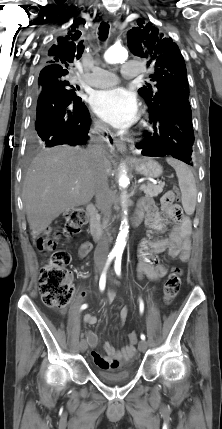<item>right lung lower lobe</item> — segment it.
I'll list each match as a JSON object with an SVG mask.
<instances>
[{"instance_id": "obj_1", "label": "right lung lower lobe", "mask_w": 222, "mask_h": 429, "mask_svg": "<svg viewBox=\"0 0 222 429\" xmlns=\"http://www.w3.org/2000/svg\"><path fill=\"white\" fill-rule=\"evenodd\" d=\"M90 124L80 97L53 84L38 91L35 130L44 146L85 144Z\"/></svg>"}]
</instances>
